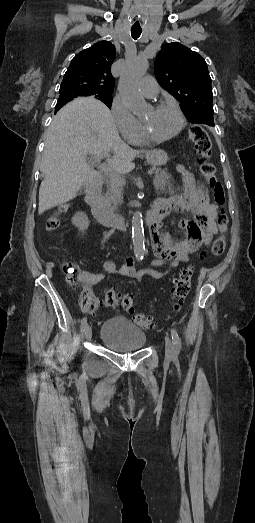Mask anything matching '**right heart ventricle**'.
I'll return each mask as SVG.
<instances>
[{"mask_svg":"<svg viewBox=\"0 0 255 523\" xmlns=\"http://www.w3.org/2000/svg\"><path fill=\"white\" fill-rule=\"evenodd\" d=\"M130 140L132 143L134 144H140L143 142V139L141 137V133H140V126L139 128L136 130V132L130 137Z\"/></svg>","mask_w":255,"mask_h":523,"instance_id":"1","label":"right heart ventricle"}]
</instances>
